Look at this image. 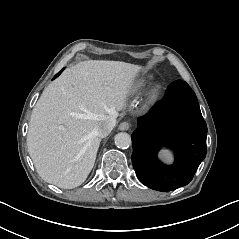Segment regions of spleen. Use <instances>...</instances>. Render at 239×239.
Instances as JSON below:
<instances>
[{
  "label": "spleen",
  "instance_id": "spleen-1",
  "mask_svg": "<svg viewBox=\"0 0 239 239\" xmlns=\"http://www.w3.org/2000/svg\"><path fill=\"white\" fill-rule=\"evenodd\" d=\"M159 156L167 162L173 161V156L169 150H162Z\"/></svg>",
  "mask_w": 239,
  "mask_h": 239
}]
</instances>
